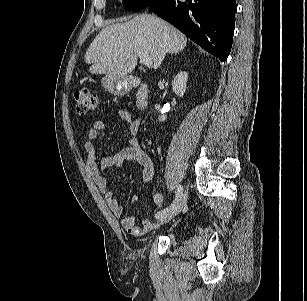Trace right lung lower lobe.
I'll return each instance as SVG.
<instances>
[{
	"mask_svg": "<svg viewBox=\"0 0 307 301\" xmlns=\"http://www.w3.org/2000/svg\"><path fill=\"white\" fill-rule=\"evenodd\" d=\"M149 11L226 61L232 47L236 0H158Z\"/></svg>",
	"mask_w": 307,
	"mask_h": 301,
	"instance_id": "right-lung-lower-lobe-1",
	"label": "right lung lower lobe"
}]
</instances>
